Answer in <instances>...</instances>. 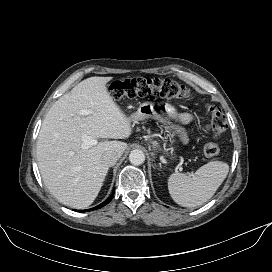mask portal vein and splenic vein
I'll return each mask as SVG.
<instances>
[{
	"label": "portal vein and splenic vein",
	"mask_w": 272,
	"mask_h": 272,
	"mask_svg": "<svg viewBox=\"0 0 272 272\" xmlns=\"http://www.w3.org/2000/svg\"><path fill=\"white\" fill-rule=\"evenodd\" d=\"M90 113H91L90 110H85V109L79 111L80 115H88ZM82 141H83L82 148H84V149L95 146L98 143L96 139H93L89 136H83ZM70 154L72 155V152H70Z\"/></svg>",
	"instance_id": "18ae733b"
}]
</instances>
